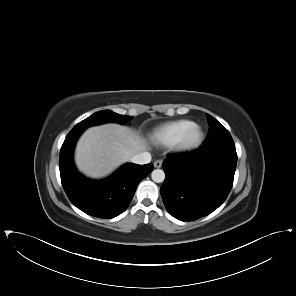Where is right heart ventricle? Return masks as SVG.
I'll use <instances>...</instances> for the list:
<instances>
[{
  "mask_svg": "<svg viewBox=\"0 0 296 296\" xmlns=\"http://www.w3.org/2000/svg\"><path fill=\"white\" fill-rule=\"evenodd\" d=\"M193 124L190 120H176L156 127L150 134L151 141L160 146H171Z\"/></svg>",
  "mask_w": 296,
  "mask_h": 296,
  "instance_id": "e07e8e85",
  "label": "right heart ventricle"
}]
</instances>
